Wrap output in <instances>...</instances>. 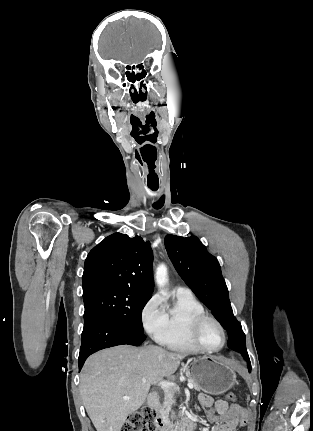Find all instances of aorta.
I'll list each match as a JSON object with an SVG mask.
<instances>
[{
	"label": "aorta",
	"mask_w": 313,
	"mask_h": 431,
	"mask_svg": "<svg viewBox=\"0 0 313 431\" xmlns=\"http://www.w3.org/2000/svg\"><path fill=\"white\" fill-rule=\"evenodd\" d=\"M155 281L160 289L168 283V270L165 264L158 265L155 272Z\"/></svg>",
	"instance_id": "aorta-1"
}]
</instances>
